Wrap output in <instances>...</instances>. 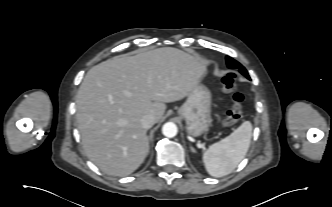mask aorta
Listing matches in <instances>:
<instances>
[{"label":"aorta","instance_id":"762f6f07","mask_svg":"<svg viewBox=\"0 0 332 207\" xmlns=\"http://www.w3.org/2000/svg\"><path fill=\"white\" fill-rule=\"evenodd\" d=\"M177 126L173 122H167L162 127V133L168 138H172L177 134Z\"/></svg>","mask_w":332,"mask_h":207}]
</instances>
